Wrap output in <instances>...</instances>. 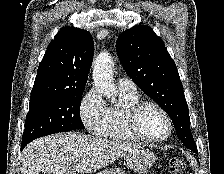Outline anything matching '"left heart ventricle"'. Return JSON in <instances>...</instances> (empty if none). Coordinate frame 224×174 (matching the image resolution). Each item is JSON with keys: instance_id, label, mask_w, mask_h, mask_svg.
Instances as JSON below:
<instances>
[{"instance_id": "left-heart-ventricle-1", "label": "left heart ventricle", "mask_w": 224, "mask_h": 174, "mask_svg": "<svg viewBox=\"0 0 224 174\" xmlns=\"http://www.w3.org/2000/svg\"><path fill=\"white\" fill-rule=\"evenodd\" d=\"M139 125L142 133L151 138L162 137L168 129L164 116L153 107H147L142 111Z\"/></svg>"}]
</instances>
